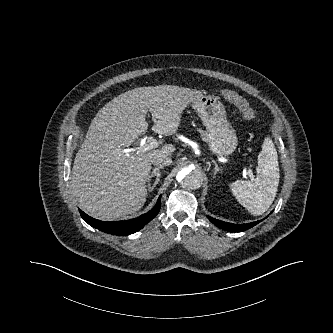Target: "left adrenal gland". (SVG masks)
<instances>
[{"mask_svg": "<svg viewBox=\"0 0 333 333\" xmlns=\"http://www.w3.org/2000/svg\"><path fill=\"white\" fill-rule=\"evenodd\" d=\"M214 165H215V167H214L213 178L216 177V174H217L218 172H222V169L216 164L215 161H214Z\"/></svg>", "mask_w": 333, "mask_h": 333, "instance_id": "obj_1", "label": "left adrenal gland"}]
</instances>
